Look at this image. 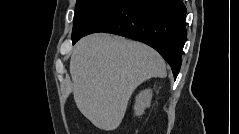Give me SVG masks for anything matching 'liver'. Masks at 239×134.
I'll return each instance as SVG.
<instances>
[{
	"label": "liver",
	"instance_id": "obj_1",
	"mask_svg": "<svg viewBox=\"0 0 239 134\" xmlns=\"http://www.w3.org/2000/svg\"><path fill=\"white\" fill-rule=\"evenodd\" d=\"M74 101L97 128L110 131L124 118L134 90L152 77L165 78L163 58L151 47L109 34L82 38L70 59Z\"/></svg>",
	"mask_w": 239,
	"mask_h": 134
}]
</instances>
